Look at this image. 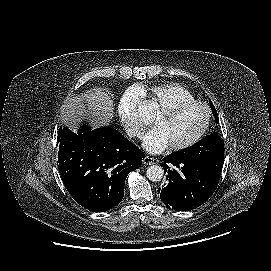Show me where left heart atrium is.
<instances>
[{
    "instance_id": "obj_1",
    "label": "left heart atrium",
    "mask_w": 271,
    "mask_h": 271,
    "mask_svg": "<svg viewBox=\"0 0 271 271\" xmlns=\"http://www.w3.org/2000/svg\"><path fill=\"white\" fill-rule=\"evenodd\" d=\"M143 147L151 154H158L169 147V142L162 129L155 126L145 135Z\"/></svg>"
}]
</instances>
